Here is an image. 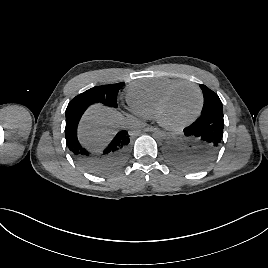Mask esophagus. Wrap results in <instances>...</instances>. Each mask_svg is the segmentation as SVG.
Listing matches in <instances>:
<instances>
[{"instance_id": "1", "label": "esophagus", "mask_w": 268, "mask_h": 268, "mask_svg": "<svg viewBox=\"0 0 268 268\" xmlns=\"http://www.w3.org/2000/svg\"><path fill=\"white\" fill-rule=\"evenodd\" d=\"M144 131H146V132H158L159 129L156 127H153V126H148V127L144 128Z\"/></svg>"}]
</instances>
